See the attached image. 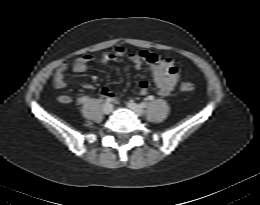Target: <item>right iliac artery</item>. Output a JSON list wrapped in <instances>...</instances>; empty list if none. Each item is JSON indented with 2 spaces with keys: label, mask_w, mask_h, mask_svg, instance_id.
I'll list each match as a JSON object with an SVG mask.
<instances>
[{
  "label": "right iliac artery",
  "mask_w": 260,
  "mask_h": 205,
  "mask_svg": "<svg viewBox=\"0 0 260 205\" xmlns=\"http://www.w3.org/2000/svg\"><path fill=\"white\" fill-rule=\"evenodd\" d=\"M106 102H107V103H110V102H111V100H110V99H106Z\"/></svg>",
  "instance_id": "1"
}]
</instances>
